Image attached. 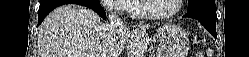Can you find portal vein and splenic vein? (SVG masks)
I'll return each mask as SVG.
<instances>
[{"mask_svg": "<svg viewBox=\"0 0 249 57\" xmlns=\"http://www.w3.org/2000/svg\"><path fill=\"white\" fill-rule=\"evenodd\" d=\"M86 57H96V55H85Z\"/></svg>", "mask_w": 249, "mask_h": 57, "instance_id": "1", "label": "portal vein and splenic vein"}]
</instances>
